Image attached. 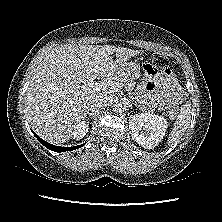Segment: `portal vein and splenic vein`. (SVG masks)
Wrapping results in <instances>:
<instances>
[{
    "mask_svg": "<svg viewBox=\"0 0 222 222\" xmlns=\"http://www.w3.org/2000/svg\"><path fill=\"white\" fill-rule=\"evenodd\" d=\"M85 86L94 91H99V92L102 91L107 94L117 92L121 88L119 84L110 83V82L88 83V84H85Z\"/></svg>",
    "mask_w": 222,
    "mask_h": 222,
    "instance_id": "18ae733b",
    "label": "portal vein and splenic vein"
}]
</instances>
